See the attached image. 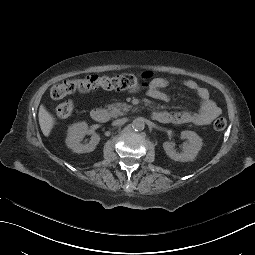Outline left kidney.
<instances>
[{
  "instance_id": "5707ae66",
  "label": "left kidney",
  "mask_w": 255,
  "mask_h": 255,
  "mask_svg": "<svg viewBox=\"0 0 255 255\" xmlns=\"http://www.w3.org/2000/svg\"><path fill=\"white\" fill-rule=\"evenodd\" d=\"M181 138L186 139L182 145L183 153H176L173 148L175 143L173 141H166L163 144V148L168 157L174 161L190 162L193 161L202 146V139L191 131L181 132Z\"/></svg>"
}]
</instances>
